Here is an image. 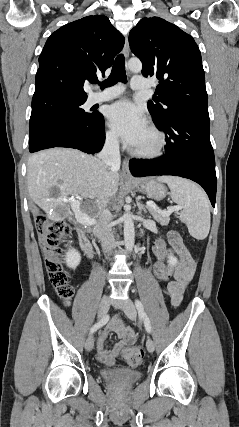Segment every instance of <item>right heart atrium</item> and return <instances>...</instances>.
I'll use <instances>...</instances> for the list:
<instances>
[{
	"label": "right heart atrium",
	"instance_id": "1",
	"mask_svg": "<svg viewBox=\"0 0 239 427\" xmlns=\"http://www.w3.org/2000/svg\"><path fill=\"white\" fill-rule=\"evenodd\" d=\"M105 143L111 149H117L119 146L118 137L110 130H108L105 134Z\"/></svg>",
	"mask_w": 239,
	"mask_h": 427
}]
</instances>
